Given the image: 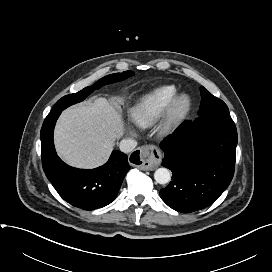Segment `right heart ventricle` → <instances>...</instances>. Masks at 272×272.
I'll list each match as a JSON object with an SVG mask.
<instances>
[{
	"mask_svg": "<svg viewBox=\"0 0 272 272\" xmlns=\"http://www.w3.org/2000/svg\"><path fill=\"white\" fill-rule=\"evenodd\" d=\"M177 95L173 85H163L143 95L130 108L132 122L140 128L152 125L168 108Z\"/></svg>",
	"mask_w": 272,
	"mask_h": 272,
	"instance_id": "1",
	"label": "right heart ventricle"
}]
</instances>
